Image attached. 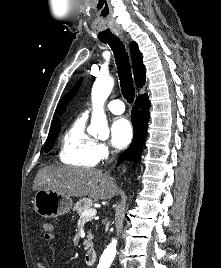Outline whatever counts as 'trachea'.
Segmentation results:
<instances>
[{"mask_svg": "<svg viewBox=\"0 0 221 268\" xmlns=\"http://www.w3.org/2000/svg\"><path fill=\"white\" fill-rule=\"evenodd\" d=\"M102 42L108 43L114 53L120 80L121 92L127 102L132 103L135 97V88L132 79L129 57L125 46L118 37L102 40Z\"/></svg>", "mask_w": 221, "mask_h": 268, "instance_id": "trachea-1", "label": "trachea"}]
</instances>
